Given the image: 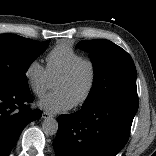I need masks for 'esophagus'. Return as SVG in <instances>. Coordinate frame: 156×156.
<instances>
[{"label":"esophagus","mask_w":156,"mask_h":156,"mask_svg":"<svg viewBox=\"0 0 156 156\" xmlns=\"http://www.w3.org/2000/svg\"><path fill=\"white\" fill-rule=\"evenodd\" d=\"M50 117H52V115L50 113H48V112H43L42 113V118L47 119V118H50Z\"/></svg>","instance_id":"34e87169"}]
</instances>
